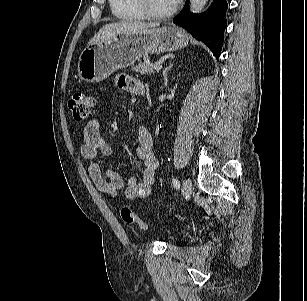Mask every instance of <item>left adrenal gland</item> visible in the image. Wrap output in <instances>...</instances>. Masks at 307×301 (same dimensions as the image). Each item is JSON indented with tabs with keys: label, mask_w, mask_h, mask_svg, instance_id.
I'll return each mask as SVG.
<instances>
[{
	"label": "left adrenal gland",
	"mask_w": 307,
	"mask_h": 301,
	"mask_svg": "<svg viewBox=\"0 0 307 301\" xmlns=\"http://www.w3.org/2000/svg\"><path fill=\"white\" fill-rule=\"evenodd\" d=\"M173 66V64H170L164 71L163 76H164V85H167L168 82V75L167 72L171 69V67Z\"/></svg>",
	"instance_id": "left-adrenal-gland-1"
}]
</instances>
